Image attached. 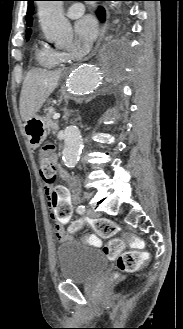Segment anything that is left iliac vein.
<instances>
[{
  "label": "left iliac vein",
  "instance_id": "4c4485c4",
  "mask_svg": "<svg viewBox=\"0 0 183 329\" xmlns=\"http://www.w3.org/2000/svg\"><path fill=\"white\" fill-rule=\"evenodd\" d=\"M86 213H87V216L91 217V218H95V217L99 216V213L97 211H95L92 207H88Z\"/></svg>",
  "mask_w": 183,
  "mask_h": 329
}]
</instances>
